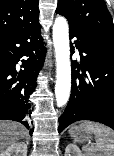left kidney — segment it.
Returning a JSON list of instances; mask_svg holds the SVG:
<instances>
[{"label": "left kidney", "mask_w": 114, "mask_h": 156, "mask_svg": "<svg viewBox=\"0 0 114 156\" xmlns=\"http://www.w3.org/2000/svg\"><path fill=\"white\" fill-rule=\"evenodd\" d=\"M64 156H85V155L82 154V152L76 145L71 143L67 145Z\"/></svg>", "instance_id": "left-kidney-1"}]
</instances>
